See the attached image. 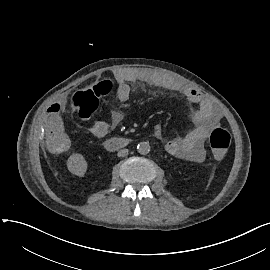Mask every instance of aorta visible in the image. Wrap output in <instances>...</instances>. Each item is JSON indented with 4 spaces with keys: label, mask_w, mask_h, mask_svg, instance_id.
<instances>
[{
    "label": "aorta",
    "mask_w": 270,
    "mask_h": 270,
    "mask_svg": "<svg viewBox=\"0 0 270 270\" xmlns=\"http://www.w3.org/2000/svg\"><path fill=\"white\" fill-rule=\"evenodd\" d=\"M137 151L142 155L148 154L150 152L149 142H140L137 146Z\"/></svg>",
    "instance_id": "762f6f07"
}]
</instances>
